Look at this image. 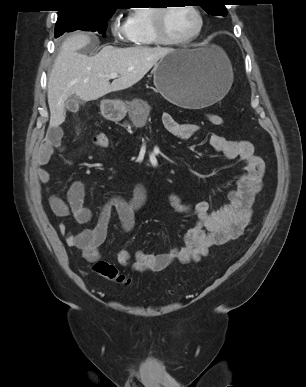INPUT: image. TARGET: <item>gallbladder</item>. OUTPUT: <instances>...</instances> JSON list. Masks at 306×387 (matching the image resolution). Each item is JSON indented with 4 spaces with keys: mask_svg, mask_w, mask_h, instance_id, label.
Listing matches in <instances>:
<instances>
[{
    "mask_svg": "<svg viewBox=\"0 0 306 387\" xmlns=\"http://www.w3.org/2000/svg\"><path fill=\"white\" fill-rule=\"evenodd\" d=\"M80 103H82V100L79 97L75 95L70 96L65 102V107L70 111L76 112Z\"/></svg>",
    "mask_w": 306,
    "mask_h": 387,
    "instance_id": "bac80fb5",
    "label": "gallbladder"
}]
</instances>
